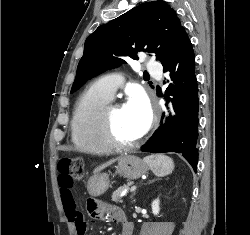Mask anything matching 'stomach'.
I'll return each instance as SVG.
<instances>
[{
  "instance_id": "obj_1",
  "label": "stomach",
  "mask_w": 250,
  "mask_h": 235,
  "mask_svg": "<svg viewBox=\"0 0 250 235\" xmlns=\"http://www.w3.org/2000/svg\"><path fill=\"white\" fill-rule=\"evenodd\" d=\"M148 171L144 160L133 155H124L118 160L117 172L128 180L138 179ZM110 186L107 174H95L88 183V192L91 196L104 194Z\"/></svg>"
}]
</instances>
